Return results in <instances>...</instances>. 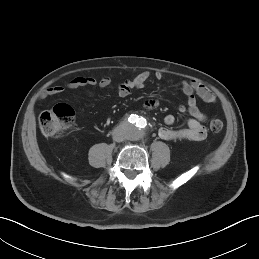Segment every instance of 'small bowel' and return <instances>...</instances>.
<instances>
[{
    "label": "small bowel",
    "instance_id": "obj_1",
    "mask_svg": "<svg viewBox=\"0 0 259 259\" xmlns=\"http://www.w3.org/2000/svg\"><path fill=\"white\" fill-rule=\"evenodd\" d=\"M161 80L164 77L163 72L157 71L152 74L149 71H143L136 75L133 79L120 83L117 86L118 95L120 97H127L134 89H141L145 86L146 82L152 77ZM111 84V78L104 76L97 80L91 76H80L72 79L66 85H56L49 87L42 91L39 95V99L44 100L48 97L60 95L66 90H75L79 88H91L89 94L94 92V88L105 89ZM181 89L187 97L186 105H179L178 110L181 113L188 112L189 119L187 121V127L183 129H171L169 127H161L158 131L160 138L167 141H201L205 139L207 135L204 123L206 121L205 114L199 109L197 105L196 95L199 96L205 102L213 103L216 98L212 91L205 85L197 81H182ZM158 106V102L155 100H148L144 103V107L147 110L154 109ZM175 121V117L171 114L166 115L164 122L166 125H172Z\"/></svg>",
    "mask_w": 259,
    "mask_h": 259
}]
</instances>
